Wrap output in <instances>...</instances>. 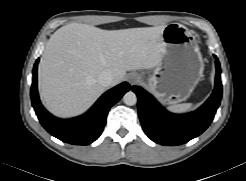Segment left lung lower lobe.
I'll use <instances>...</instances> for the list:
<instances>
[{
	"label": "left lung lower lobe",
	"instance_id": "left-lung-lower-lobe-1",
	"mask_svg": "<svg viewBox=\"0 0 246 181\" xmlns=\"http://www.w3.org/2000/svg\"><path fill=\"white\" fill-rule=\"evenodd\" d=\"M216 58V56H215ZM221 68L216 58L215 88L208 100L196 111L177 115L166 111L149 93L133 86L138 97V114L146 135L165 146L187 143L211 124L222 97Z\"/></svg>",
	"mask_w": 246,
	"mask_h": 181
}]
</instances>
